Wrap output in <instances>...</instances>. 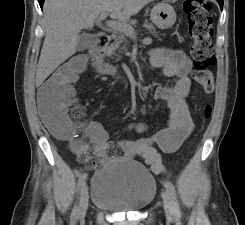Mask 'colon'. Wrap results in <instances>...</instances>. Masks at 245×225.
<instances>
[{"instance_id":"1","label":"colon","mask_w":245,"mask_h":225,"mask_svg":"<svg viewBox=\"0 0 245 225\" xmlns=\"http://www.w3.org/2000/svg\"><path fill=\"white\" fill-rule=\"evenodd\" d=\"M184 10L188 19L189 33L193 40L191 53L195 62L197 82L206 93L210 94L213 91V77L209 73V69L215 63L211 40L213 35L211 5L206 0H185ZM81 64L82 62L77 59H70L63 63L42 85L44 93L60 100L65 99L72 89L74 70ZM211 113V105L206 104L203 108V115L209 118ZM71 115L75 119H80L84 115V110L81 106L75 105L71 108ZM79 126V122L75 125L53 123L55 133L72 147L77 145L78 141L74 135ZM109 154L112 158L117 156L115 150H110ZM88 155L87 164L93 168L97 167L98 161L93 158L92 149L88 150ZM156 167L159 173L164 172V167L160 162H156Z\"/></svg>"}]
</instances>
